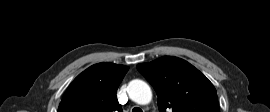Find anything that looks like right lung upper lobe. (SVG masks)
<instances>
[{
	"mask_svg": "<svg viewBox=\"0 0 270 112\" xmlns=\"http://www.w3.org/2000/svg\"><path fill=\"white\" fill-rule=\"evenodd\" d=\"M128 69L105 62L89 67L70 84L58 112H122L116 92Z\"/></svg>",
	"mask_w": 270,
	"mask_h": 112,
	"instance_id": "obj_1",
	"label": "right lung upper lobe"
}]
</instances>
